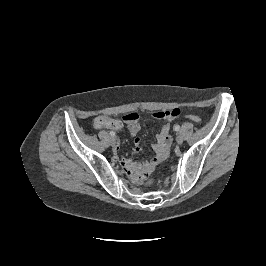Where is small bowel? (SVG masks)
I'll list each match as a JSON object with an SVG mask.
<instances>
[{"mask_svg": "<svg viewBox=\"0 0 266 266\" xmlns=\"http://www.w3.org/2000/svg\"><path fill=\"white\" fill-rule=\"evenodd\" d=\"M180 114L179 109H172L167 111H159L154 114V118L159 121L166 122L162 127L160 133L157 135V141L153 145V150L155 156L145 163H136L128 159H122L123 169L134 179L142 180L153 169L163 161L168 153L171 146L172 138L170 135V126L169 122L177 118ZM123 123L126 125V128L129 134L135 137L134 144L136 151H140L141 140L136 137L140 130L139 116L136 113H129L123 117ZM123 123L119 120L111 119L106 116H98L94 120V127L97 129H120L123 126ZM119 147L116 146L115 152L117 153Z\"/></svg>", "mask_w": 266, "mask_h": 266, "instance_id": "1", "label": "small bowel"}]
</instances>
